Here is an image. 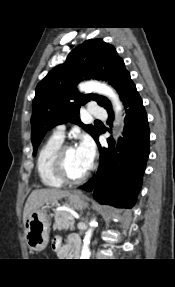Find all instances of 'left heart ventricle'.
I'll list each match as a JSON object with an SVG mask.
<instances>
[{
	"label": "left heart ventricle",
	"mask_w": 175,
	"mask_h": 287,
	"mask_svg": "<svg viewBox=\"0 0 175 287\" xmlns=\"http://www.w3.org/2000/svg\"><path fill=\"white\" fill-rule=\"evenodd\" d=\"M64 165L67 174L73 178L82 175L89 168L76 147L67 150Z\"/></svg>",
	"instance_id": "b2bd125f"
}]
</instances>
